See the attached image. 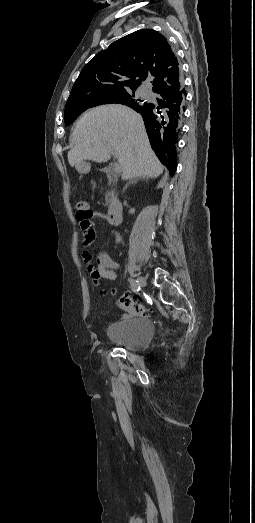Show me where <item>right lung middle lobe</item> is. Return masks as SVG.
<instances>
[{
    "instance_id": "obj_1",
    "label": "right lung middle lobe",
    "mask_w": 255,
    "mask_h": 523,
    "mask_svg": "<svg viewBox=\"0 0 255 523\" xmlns=\"http://www.w3.org/2000/svg\"><path fill=\"white\" fill-rule=\"evenodd\" d=\"M133 96H134V93H133V95H131V93H126V94H122V95L107 96V97H104V98H101V99H98V100H95L92 102H87V103L67 104L65 106V111H64L65 124L66 125L71 124L73 121H75L77 116H79L83 111H85L89 107H95L98 105L109 104V103H119V104L125 105L129 101L134 100V99H132Z\"/></svg>"
}]
</instances>
